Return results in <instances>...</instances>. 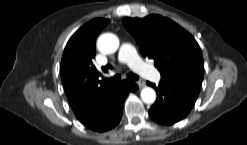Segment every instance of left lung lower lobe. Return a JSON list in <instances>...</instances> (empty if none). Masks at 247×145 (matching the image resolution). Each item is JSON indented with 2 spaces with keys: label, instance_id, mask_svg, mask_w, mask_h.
Segmentation results:
<instances>
[{
  "label": "left lung lower lobe",
  "instance_id": "left-lung-lower-lobe-1",
  "mask_svg": "<svg viewBox=\"0 0 247 145\" xmlns=\"http://www.w3.org/2000/svg\"><path fill=\"white\" fill-rule=\"evenodd\" d=\"M157 92V100L150 108L151 118L162 125H172L187 116L194 106L198 92L177 82L161 79L159 85L147 82Z\"/></svg>",
  "mask_w": 247,
  "mask_h": 145
}]
</instances>
